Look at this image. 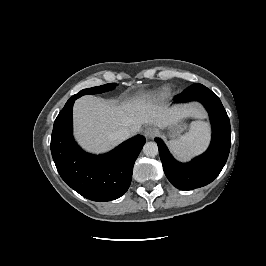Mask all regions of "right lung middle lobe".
I'll list each match as a JSON object with an SVG mask.
<instances>
[{
	"instance_id": "1",
	"label": "right lung middle lobe",
	"mask_w": 266,
	"mask_h": 266,
	"mask_svg": "<svg viewBox=\"0 0 266 266\" xmlns=\"http://www.w3.org/2000/svg\"><path fill=\"white\" fill-rule=\"evenodd\" d=\"M116 83H109V84H105L102 86H98V87H92V88H87V89H83L81 90L79 93L73 95L69 100H71L72 98H79L83 95L86 94H98V93H103L109 90H112L116 87Z\"/></svg>"
}]
</instances>
